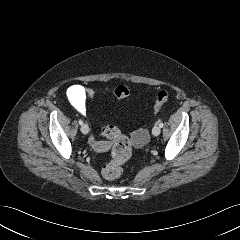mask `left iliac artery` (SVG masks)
<instances>
[{
  "label": "left iliac artery",
  "instance_id": "44dca946",
  "mask_svg": "<svg viewBox=\"0 0 240 240\" xmlns=\"http://www.w3.org/2000/svg\"><path fill=\"white\" fill-rule=\"evenodd\" d=\"M163 122H159V127L162 128L163 127Z\"/></svg>",
  "mask_w": 240,
  "mask_h": 240
}]
</instances>
